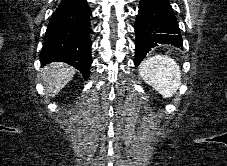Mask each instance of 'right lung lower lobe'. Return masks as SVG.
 I'll use <instances>...</instances> for the list:
<instances>
[{"label":"right lung lower lobe","instance_id":"right-lung-lower-lobe-1","mask_svg":"<svg viewBox=\"0 0 227 166\" xmlns=\"http://www.w3.org/2000/svg\"><path fill=\"white\" fill-rule=\"evenodd\" d=\"M91 11L86 0H61L48 25L40 54L42 65L66 62L89 77Z\"/></svg>","mask_w":227,"mask_h":166}]
</instances>
